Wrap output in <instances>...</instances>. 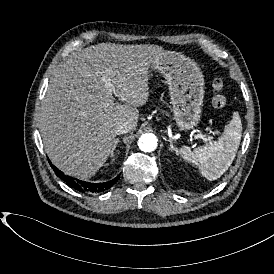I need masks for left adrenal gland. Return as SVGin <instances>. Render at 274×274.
I'll return each mask as SVG.
<instances>
[{
	"label": "left adrenal gland",
	"mask_w": 274,
	"mask_h": 274,
	"mask_svg": "<svg viewBox=\"0 0 274 274\" xmlns=\"http://www.w3.org/2000/svg\"><path fill=\"white\" fill-rule=\"evenodd\" d=\"M170 143V151L174 152L176 155H179L180 152L176 150V148H174L173 142L171 140H169Z\"/></svg>",
	"instance_id": "left-adrenal-gland-1"
}]
</instances>
